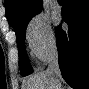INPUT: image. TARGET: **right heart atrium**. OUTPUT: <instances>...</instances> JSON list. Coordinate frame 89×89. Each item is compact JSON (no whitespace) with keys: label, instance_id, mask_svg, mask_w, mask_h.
I'll list each match as a JSON object with an SVG mask.
<instances>
[{"label":"right heart atrium","instance_id":"obj_1","mask_svg":"<svg viewBox=\"0 0 89 89\" xmlns=\"http://www.w3.org/2000/svg\"><path fill=\"white\" fill-rule=\"evenodd\" d=\"M26 39L32 54L39 62H45L56 51V37L48 17L34 16L26 29Z\"/></svg>","mask_w":89,"mask_h":89}]
</instances>
